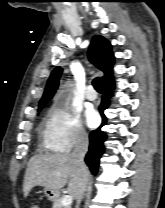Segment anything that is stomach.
<instances>
[{"label": "stomach", "instance_id": "1", "mask_svg": "<svg viewBox=\"0 0 165 208\" xmlns=\"http://www.w3.org/2000/svg\"><path fill=\"white\" fill-rule=\"evenodd\" d=\"M44 193H45V196L50 201H54L59 197V193L57 191L52 190V189L45 188Z\"/></svg>", "mask_w": 165, "mask_h": 208}]
</instances>
